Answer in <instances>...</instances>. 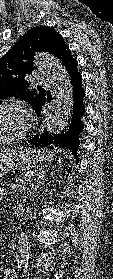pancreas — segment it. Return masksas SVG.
Masks as SVG:
<instances>
[{"instance_id":"pancreas-1","label":"pancreas","mask_w":113,"mask_h":279,"mask_svg":"<svg viewBox=\"0 0 113 279\" xmlns=\"http://www.w3.org/2000/svg\"><path fill=\"white\" fill-rule=\"evenodd\" d=\"M33 172H24L19 177H16L14 181L10 184V190L12 193L21 192L25 189L26 185L32 180L34 177Z\"/></svg>"}]
</instances>
